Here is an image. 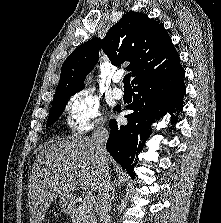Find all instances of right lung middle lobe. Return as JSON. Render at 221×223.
Here are the masks:
<instances>
[{"instance_id":"1","label":"right lung middle lobe","mask_w":221,"mask_h":223,"mask_svg":"<svg viewBox=\"0 0 221 223\" xmlns=\"http://www.w3.org/2000/svg\"><path fill=\"white\" fill-rule=\"evenodd\" d=\"M70 97L53 101L52 108L47 120V126H51L62 114Z\"/></svg>"}]
</instances>
